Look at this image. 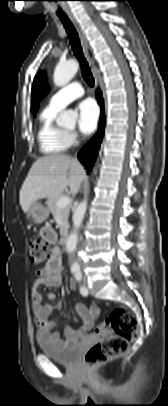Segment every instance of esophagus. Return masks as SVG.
<instances>
[{"label": "esophagus", "mask_w": 168, "mask_h": 406, "mask_svg": "<svg viewBox=\"0 0 168 406\" xmlns=\"http://www.w3.org/2000/svg\"><path fill=\"white\" fill-rule=\"evenodd\" d=\"M71 22L73 23L74 27L76 28V30L78 32L83 53H84L89 65H90V67H93L94 61H93V59H92V57L90 55L89 48H88V43H87L84 31L81 28L80 24L74 18H71ZM94 80H95V85L98 86V80H97V77H96L95 74H94Z\"/></svg>", "instance_id": "obj_1"}]
</instances>
